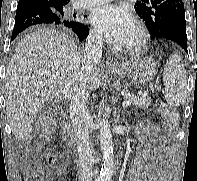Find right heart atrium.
Returning a JSON list of instances; mask_svg holds the SVG:
<instances>
[{
    "label": "right heart atrium",
    "mask_w": 197,
    "mask_h": 181,
    "mask_svg": "<svg viewBox=\"0 0 197 181\" xmlns=\"http://www.w3.org/2000/svg\"><path fill=\"white\" fill-rule=\"evenodd\" d=\"M91 39L95 43H100L102 40L101 36L94 30L91 32Z\"/></svg>",
    "instance_id": "right-heart-atrium-1"
}]
</instances>
